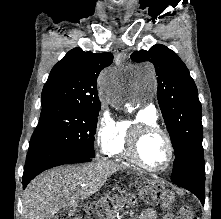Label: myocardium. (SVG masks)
Here are the masks:
<instances>
[{
	"label": "myocardium",
	"mask_w": 221,
	"mask_h": 219,
	"mask_svg": "<svg viewBox=\"0 0 221 219\" xmlns=\"http://www.w3.org/2000/svg\"><path fill=\"white\" fill-rule=\"evenodd\" d=\"M150 134H160L167 143L168 159L166 165L163 168L150 167L145 164L140 157V144L142 140ZM126 153L129 156L130 160L142 169L158 174L167 172L171 168L175 158L174 144L169 134L158 125L149 123H136L130 128L127 137Z\"/></svg>",
	"instance_id": "f54148a6"
}]
</instances>
